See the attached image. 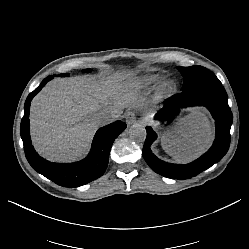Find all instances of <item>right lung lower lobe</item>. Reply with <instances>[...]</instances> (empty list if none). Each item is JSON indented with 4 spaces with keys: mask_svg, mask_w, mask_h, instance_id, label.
Listing matches in <instances>:
<instances>
[{
    "mask_svg": "<svg viewBox=\"0 0 249 249\" xmlns=\"http://www.w3.org/2000/svg\"><path fill=\"white\" fill-rule=\"evenodd\" d=\"M53 77L45 78L41 84L31 92L24 104V116L21 121L20 134L24 151L29 164L34 170L56 184L64 187H78L102 176L107 168L109 153L114 140L126 128L120 120L100 128L93 139L88 156L75 163H52L40 157L34 150L29 131V110L33 97Z\"/></svg>",
    "mask_w": 249,
    "mask_h": 249,
    "instance_id": "1",
    "label": "right lung lower lobe"
}]
</instances>
